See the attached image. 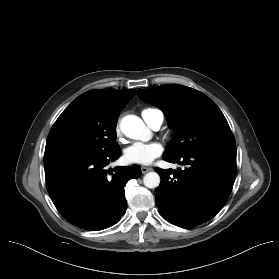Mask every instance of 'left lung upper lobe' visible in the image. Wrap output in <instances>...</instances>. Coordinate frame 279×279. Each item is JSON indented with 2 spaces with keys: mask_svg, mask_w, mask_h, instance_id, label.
<instances>
[{
  "mask_svg": "<svg viewBox=\"0 0 279 279\" xmlns=\"http://www.w3.org/2000/svg\"><path fill=\"white\" fill-rule=\"evenodd\" d=\"M147 103L160 107L176 136L165 156L177 157L215 146L236 147L234 136L223 113L205 94L193 88L167 84L137 91Z\"/></svg>",
  "mask_w": 279,
  "mask_h": 279,
  "instance_id": "5c2ea615",
  "label": "left lung upper lobe"
}]
</instances>
